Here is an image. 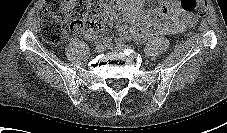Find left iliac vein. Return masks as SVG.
I'll use <instances>...</instances> for the list:
<instances>
[{
	"label": "left iliac vein",
	"mask_w": 227,
	"mask_h": 133,
	"mask_svg": "<svg viewBox=\"0 0 227 133\" xmlns=\"http://www.w3.org/2000/svg\"><path fill=\"white\" fill-rule=\"evenodd\" d=\"M110 48L116 51H123L124 49L128 48V46L123 43V44H116L114 46H111Z\"/></svg>",
	"instance_id": "obj_1"
}]
</instances>
